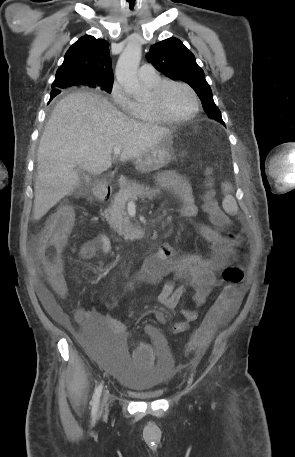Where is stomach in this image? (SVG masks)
<instances>
[{
    "label": "stomach",
    "instance_id": "stomach-1",
    "mask_svg": "<svg viewBox=\"0 0 295 457\" xmlns=\"http://www.w3.org/2000/svg\"><path fill=\"white\" fill-rule=\"evenodd\" d=\"M176 157L173 148V136L164 139L159 145L135 160L136 169L146 173L159 169Z\"/></svg>",
    "mask_w": 295,
    "mask_h": 457
}]
</instances>
